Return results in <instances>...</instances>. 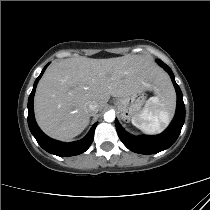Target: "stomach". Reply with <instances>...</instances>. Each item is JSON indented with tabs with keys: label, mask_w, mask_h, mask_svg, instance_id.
<instances>
[{
	"label": "stomach",
	"mask_w": 210,
	"mask_h": 210,
	"mask_svg": "<svg viewBox=\"0 0 210 210\" xmlns=\"http://www.w3.org/2000/svg\"><path fill=\"white\" fill-rule=\"evenodd\" d=\"M146 101L145 91L134 93L127 97L118 98L115 106L123 120H130L137 116Z\"/></svg>",
	"instance_id": "1"
}]
</instances>
